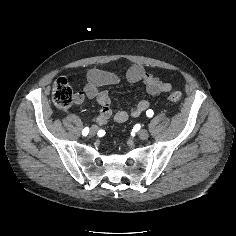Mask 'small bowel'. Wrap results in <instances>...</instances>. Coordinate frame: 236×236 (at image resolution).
Returning a JSON list of instances; mask_svg holds the SVG:
<instances>
[{
  "mask_svg": "<svg viewBox=\"0 0 236 236\" xmlns=\"http://www.w3.org/2000/svg\"><path fill=\"white\" fill-rule=\"evenodd\" d=\"M126 79L130 83H142L146 93L150 96L167 93L172 88L170 83L164 82L153 74L146 72L143 66L139 64L132 65L127 70ZM119 83L120 77L117 74L100 69H91L87 73V83L83 90L75 93V103L81 104L85 98L96 100L99 104L96 122L99 125L108 123L112 118L117 123H123L129 118L139 117L151 106L148 100H141L129 110L120 109L114 115L112 114L109 92L100 88Z\"/></svg>",
  "mask_w": 236,
  "mask_h": 236,
  "instance_id": "1",
  "label": "small bowel"
}]
</instances>
